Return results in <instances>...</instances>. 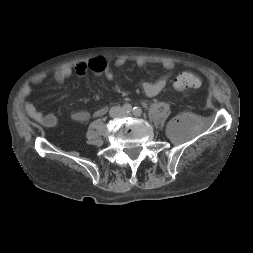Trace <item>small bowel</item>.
I'll use <instances>...</instances> for the list:
<instances>
[{
  "label": "small bowel",
  "mask_w": 253,
  "mask_h": 253,
  "mask_svg": "<svg viewBox=\"0 0 253 253\" xmlns=\"http://www.w3.org/2000/svg\"><path fill=\"white\" fill-rule=\"evenodd\" d=\"M127 60L124 57H118L112 61L111 64H108V73H112L111 67H122L126 64ZM87 61L78 62L75 64L73 68L71 67H63L59 70H57L54 74V79L58 83H63L67 78H69L73 72H75L79 76L85 75L90 69L88 66ZM146 64V61L144 59H137L136 65L139 67H143ZM162 67L167 70L171 71L174 69V63L170 60H166L162 62ZM45 79L44 75L36 76L33 79L34 84H39ZM170 80L169 76H164L156 80L152 81H145L142 83V89L144 93L149 97H154L158 95L168 84ZM31 87L29 85L25 86L23 88L22 94H23V106L25 109V112L27 115L37 122L38 124L46 127V128H52L56 126L58 122V118L53 113H44L37 109V107L34 105V103L29 99V96L31 94ZM107 113L106 107H99L95 109L93 112H89L86 110H77L74 111L71 114V118L75 122L83 123L91 119L92 117L98 118L102 117Z\"/></svg>",
  "instance_id": "small-bowel-1"
}]
</instances>
